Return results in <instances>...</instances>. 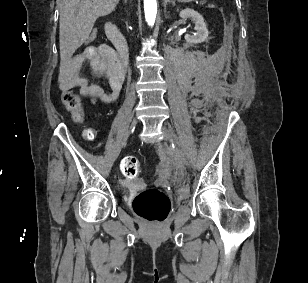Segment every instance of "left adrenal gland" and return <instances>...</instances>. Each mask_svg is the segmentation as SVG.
Instances as JSON below:
<instances>
[{"mask_svg":"<svg viewBox=\"0 0 308 283\" xmlns=\"http://www.w3.org/2000/svg\"><path fill=\"white\" fill-rule=\"evenodd\" d=\"M168 3H171L173 6H175V0H164V8L166 11V6Z\"/></svg>","mask_w":308,"mask_h":283,"instance_id":"obj_1","label":"left adrenal gland"}]
</instances>
